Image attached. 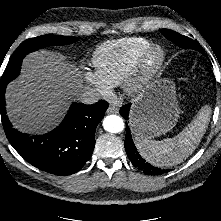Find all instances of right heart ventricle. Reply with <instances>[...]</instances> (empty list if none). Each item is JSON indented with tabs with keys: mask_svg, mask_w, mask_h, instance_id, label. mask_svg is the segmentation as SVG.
I'll list each match as a JSON object with an SVG mask.
<instances>
[{
	"mask_svg": "<svg viewBox=\"0 0 221 221\" xmlns=\"http://www.w3.org/2000/svg\"><path fill=\"white\" fill-rule=\"evenodd\" d=\"M151 45L142 37L112 40L94 52L93 64L98 75L111 87L124 82L138 57Z\"/></svg>",
	"mask_w": 221,
	"mask_h": 221,
	"instance_id": "e07e8e85",
	"label": "right heart ventricle"
}]
</instances>
